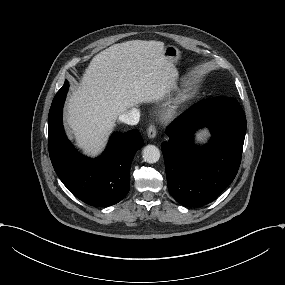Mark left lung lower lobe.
Wrapping results in <instances>:
<instances>
[{"instance_id":"obj_1","label":"left lung lower lobe","mask_w":285,"mask_h":285,"mask_svg":"<svg viewBox=\"0 0 285 285\" xmlns=\"http://www.w3.org/2000/svg\"><path fill=\"white\" fill-rule=\"evenodd\" d=\"M203 126L211 129L212 139L198 148L193 134ZM245 133V114L232 97L202 100L176 118L161 145L174 199L187 207L215 200L238 172Z\"/></svg>"}]
</instances>
